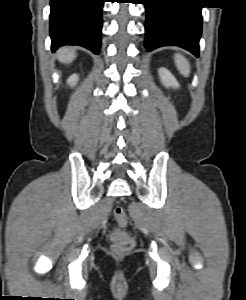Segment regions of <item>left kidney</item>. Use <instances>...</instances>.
Wrapping results in <instances>:
<instances>
[{
  "mask_svg": "<svg viewBox=\"0 0 246 300\" xmlns=\"http://www.w3.org/2000/svg\"><path fill=\"white\" fill-rule=\"evenodd\" d=\"M159 77L161 79V82L165 87H173V88H178L179 83L176 80V78L172 75L170 71H168L165 68H160L158 70Z\"/></svg>",
  "mask_w": 246,
  "mask_h": 300,
  "instance_id": "obj_1",
  "label": "left kidney"
}]
</instances>
